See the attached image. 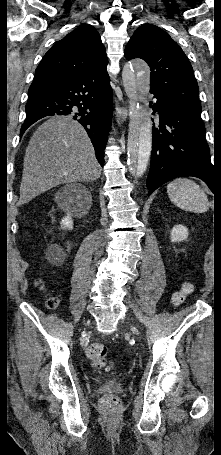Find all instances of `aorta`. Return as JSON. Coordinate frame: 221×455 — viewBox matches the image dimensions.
Returning a JSON list of instances; mask_svg holds the SVG:
<instances>
[{"mask_svg":"<svg viewBox=\"0 0 221 455\" xmlns=\"http://www.w3.org/2000/svg\"><path fill=\"white\" fill-rule=\"evenodd\" d=\"M122 81L129 99L127 163L130 174L140 177L147 169L152 149V123L145 111L150 88L149 66L140 59L127 62Z\"/></svg>","mask_w":221,"mask_h":455,"instance_id":"762f6f07","label":"aorta"}]
</instances>
